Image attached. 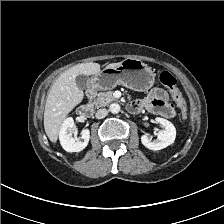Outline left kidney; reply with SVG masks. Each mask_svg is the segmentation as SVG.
I'll use <instances>...</instances> for the list:
<instances>
[{"label": "left kidney", "mask_w": 224, "mask_h": 224, "mask_svg": "<svg viewBox=\"0 0 224 224\" xmlns=\"http://www.w3.org/2000/svg\"><path fill=\"white\" fill-rule=\"evenodd\" d=\"M156 122L164 127L157 134V140L151 141L147 135L141 137L142 144L150 150H161L174 143L176 138V129L174 125L163 118L157 117Z\"/></svg>", "instance_id": "obj_1"}]
</instances>
